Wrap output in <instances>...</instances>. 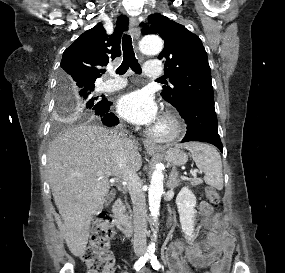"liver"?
Instances as JSON below:
<instances>
[{
    "mask_svg": "<svg viewBox=\"0 0 285 273\" xmlns=\"http://www.w3.org/2000/svg\"><path fill=\"white\" fill-rule=\"evenodd\" d=\"M113 133L97 125L69 127L50 144L47 172L55 204L63 220L61 231L74 256L86 251L94 215L104 205L111 176L123 177L112 148ZM128 165L135 172L142 165L135 142L123 139ZM102 172L103 176H97Z\"/></svg>",
    "mask_w": 285,
    "mask_h": 273,
    "instance_id": "obj_1",
    "label": "liver"
}]
</instances>
